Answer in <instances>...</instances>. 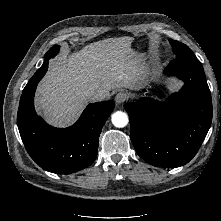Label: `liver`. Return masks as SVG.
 Wrapping results in <instances>:
<instances>
[{"mask_svg": "<svg viewBox=\"0 0 221 221\" xmlns=\"http://www.w3.org/2000/svg\"><path fill=\"white\" fill-rule=\"evenodd\" d=\"M132 41L131 37L103 40L52 62L37 93L46 116L56 124H67L92 91L135 89L143 67L141 55L131 49Z\"/></svg>", "mask_w": 221, "mask_h": 221, "instance_id": "1", "label": "liver"}]
</instances>
